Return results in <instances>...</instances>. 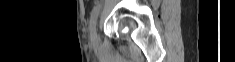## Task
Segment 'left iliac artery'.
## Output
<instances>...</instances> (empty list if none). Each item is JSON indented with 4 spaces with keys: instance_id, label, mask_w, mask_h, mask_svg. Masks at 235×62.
Here are the masks:
<instances>
[{
    "instance_id": "44dca946",
    "label": "left iliac artery",
    "mask_w": 235,
    "mask_h": 62,
    "mask_svg": "<svg viewBox=\"0 0 235 62\" xmlns=\"http://www.w3.org/2000/svg\"><path fill=\"white\" fill-rule=\"evenodd\" d=\"M101 5H96L90 15V29L96 24V20L98 18L100 12Z\"/></svg>"
}]
</instances>
